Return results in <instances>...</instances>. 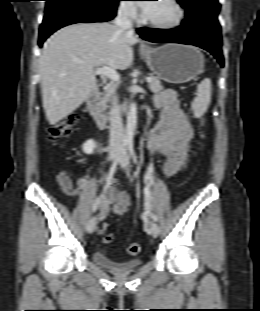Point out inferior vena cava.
Listing matches in <instances>:
<instances>
[{
  "label": "inferior vena cava",
  "mask_w": 260,
  "mask_h": 311,
  "mask_svg": "<svg viewBox=\"0 0 260 311\" xmlns=\"http://www.w3.org/2000/svg\"><path fill=\"white\" fill-rule=\"evenodd\" d=\"M114 23L120 29L128 30L130 33H133L132 21L129 18L127 10H120ZM110 122L109 148L113 150L121 146L124 137V129L117 97H114L112 101Z\"/></svg>",
  "instance_id": "1"
}]
</instances>
